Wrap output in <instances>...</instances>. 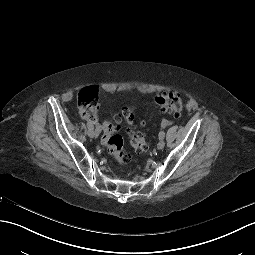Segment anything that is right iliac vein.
Returning <instances> with one entry per match:
<instances>
[{
	"label": "right iliac vein",
	"mask_w": 255,
	"mask_h": 255,
	"mask_svg": "<svg viewBox=\"0 0 255 255\" xmlns=\"http://www.w3.org/2000/svg\"><path fill=\"white\" fill-rule=\"evenodd\" d=\"M96 135L94 129H88V136L91 138H94Z\"/></svg>",
	"instance_id": "right-iliac-vein-1"
}]
</instances>
